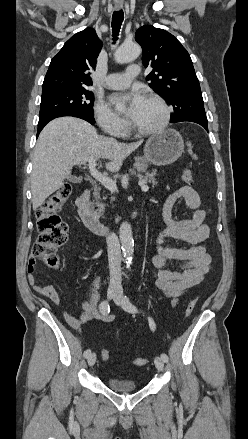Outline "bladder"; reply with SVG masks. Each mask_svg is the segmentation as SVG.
Masks as SVG:
<instances>
[{
    "instance_id": "31cf9c89",
    "label": "bladder",
    "mask_w": 248,
    "mask_h": 439,
    "mask_svg": "<svg viewBox=\"0 0 248 439\" xmlns=\"http://www.w3.org/2000/svg\"><path fill=\"white\" fill-rule=\"evenodd\" d=\"M107 384L110 390L114 392H134L137 390V385L133 380L122 379L117 377H109L107 379Z\"/></svg>"
}]
</instances>
